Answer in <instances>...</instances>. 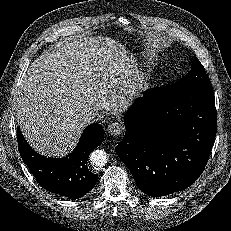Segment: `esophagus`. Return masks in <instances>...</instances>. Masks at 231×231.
<instances>
[{
  "label": "esophagus",
  "mask_w": 231,
  "mask_h": 231,
  "mask_svg": "<svg viewBox=\"0 0 231 231\" xmlns=\"http://www.w3.org/2000/svg\"><path fill=\"white\" fill-rule=\"evenodd\" d=\"M124 126L119 121L111 122L107 127V132L112 136H118L123 133Z\"/></svg>",
  "instance_id": "obj_1"
}]
</instances>
